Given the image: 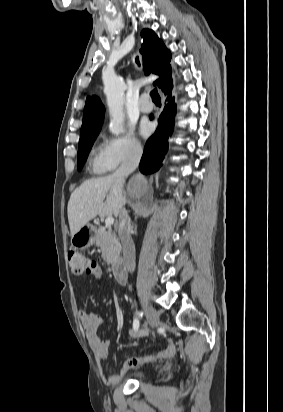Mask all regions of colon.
<instances>
[{"instance_id": "1", "label": "colon", "mask_w": 283, "mask_h": 412, "mask_svg": "<svg viewBox=\"0 0 283 412\" xmlns=\"http://www.w3.org/2000/svg\"><path fill=\"white\" fill-rule=\"evenodd\" d=\"M97 262L94 260H87L81 254L70 252L68 255V265L70 271L75 276H81L84 273H89L97 267Z\"/></svg>"}]
</instances>
